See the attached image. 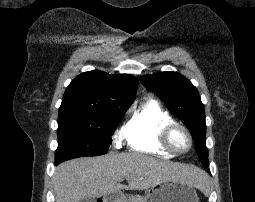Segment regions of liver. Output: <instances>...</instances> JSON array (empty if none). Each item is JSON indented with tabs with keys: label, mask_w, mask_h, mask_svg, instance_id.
<instances>
[{
	"label": "liver",
	"mask_w": 255,
	"mask_h": 202,
	"mask_svg": "<svg viewBox=\"0 0 255 202\" xmlns=\"http://www.w3.org/2000/svg\"><path fill=\"white\" fill-rule=\"evenodd\" d=\"M126 179L128 186L119 181ZM176 179L204 188L206 174L192 165L161 161L140 153L84 157L60 164L54 174L56 202H79L121 189L144 190Z\"/></svg>",
	"instance_id": "6515ba94"
}]
</instances>
